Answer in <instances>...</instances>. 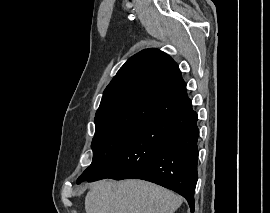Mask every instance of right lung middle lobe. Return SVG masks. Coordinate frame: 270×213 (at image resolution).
Wrapping results in <instances>:
<instances>
[{
    "mask_svg": "<svg viewBox=\"0 0 270 213\" xmlns=\"http://www.w3.org/2000/svg\"><path fill=\"white\" fill-rule=\"evenodd\" d=\"M155 106L156 104L149 102H132L96 116L92 141L93 160L77 183L99 173Z\"/></svg>",
    "mask_w": 270,
    "mask_h": 213,
    "instance_id": "obj_1",
    "label": "right lung middle lobe"
}]
</instances>
